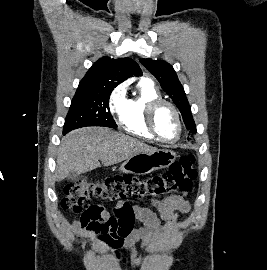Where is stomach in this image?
<instances>
[{"instance_id": "obj_1", "label": "stomach", "mask_w": 267, "mask_h": 270, "mask_svg": "<svg viewBox=\"0 0 267 270\" xmlns=\"http://www.w3.org/2000/svg\"><path fill=\"white\" fill-rule=\"evenodd\" d=\"M175 158L176 153L169 149L141 152L127 159L119 170L127 174H148L154 170L170 166Z\"/></svg>"}]
</instances>
